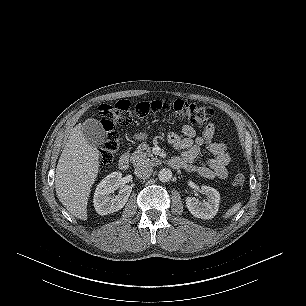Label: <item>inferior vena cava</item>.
Instances as JSON below:
<instances>
[{
    "mask_svg": "<svg viewBox=\"0 0 306 306\" xmlns=\"http://www.w3.org/2000/svg\"><path fill=\"white\" fill-rule=\"evenodd\" d=\"M135 175L139 178H148L153 173V168L149 165L138 166L134 171Z\"/></svg>",
    "mask_w": 306,
    "mask_h": 306,
    "instance_id": "1",
    "label": "inferior vena cava"
}]
</instances>
